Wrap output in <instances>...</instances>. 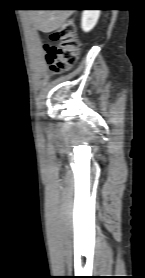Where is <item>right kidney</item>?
<instances>
[{
	"label": "right kidney",
	"instance_id": "obj_1",
	"mask_svg": "<svg viewBox=\"0 0 145 278\" xmlns=\"http://www.w3.org/2000/svg\"><path fill=\"white\" fill-rule=\"evenodd\" d=\"M100 16V10H84L82 13V29L89 32L94 28Z\"/></svg>",
	"mask_w": 145,
	"mask_h": 278
}]
</instances>
